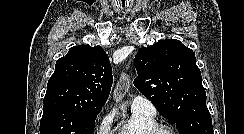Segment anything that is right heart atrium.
<instances>
[{
    "label": "right heart atrium",
    "mask_w": 244,
    "mask_h": 134,
    "mask_svg": "<svg viewBox=\"0 0 244 134\" xmlns=\"http://www.w3.org/2000/svg\"><path fill=\"white\" fill-rule=\"evenodd\" d=\"M113 115L106 114L99 121L95 134H112Z\"/></svg>",
    "instance_id": "right-heart-atrium-1"
}]
</instances>
